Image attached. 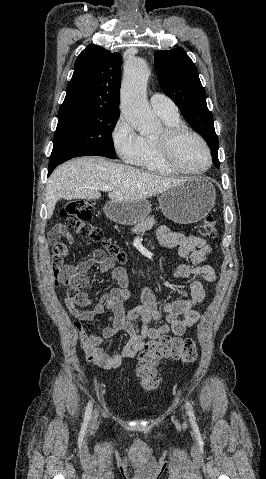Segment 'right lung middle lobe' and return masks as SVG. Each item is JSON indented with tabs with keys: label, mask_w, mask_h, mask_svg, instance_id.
Here are the masks:
<instances>
[{
	"label": "right lung middle lobe",
	"mask_w": 266,
	"mask_h": 479,
	"mask_svg": "<svg viewBox=\"0 0 266 479\" xmlns=\"http://www.w3.org/2000/svg\"><path fill=\"white\" fill-rule=\"evenodd\" d=\"M120 114H58L52 153L65 152L76 156H104L116 159L111 139Z\"/></svg>",
	"instance_id": "1"
}]
</instances>
